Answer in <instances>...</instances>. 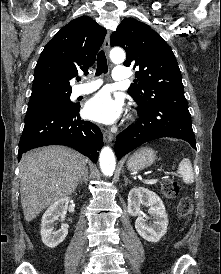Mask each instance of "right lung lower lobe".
Listing matches in <instances>:
<instances>
[{
  "mask_svg": "<svg viewBox=\"0 0 221 274\" xmlns=\"http://www.w3.org/2000/svg\"><path fill=\"white\" fill-rule=\"evenodd\" d=\"M80 105L56 106L27 112L19 142L18 160L33 148L65 145L74 148L94 163L103 146L99 127L84 121L79 115Z\"/></svg>",
  "mask_w": 221,
  "mask_h": 274,
  "instance_id": "right-lung-lower-lobe-1",
  "label": "right lung lower lobe"
}]
</instances>
